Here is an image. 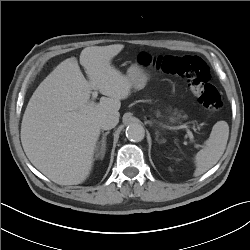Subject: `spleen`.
Listing matches in <instances>:
<instances>
[{
  "label": "spleen",
  "instance_id": "3e777b00",
  "mask_svg": "<svg viewBox=\"0 0 250 250\" xmlns=\"http://www.w3.org/2000/svg\"><path fill=\"white\" fill-rule=\"evenodd\" d=\"M229 137V126L225 121L214 124L203 149L195 155L194 176H200L212 168L223 155Z\"/></svg>",
  "mask_w": 250,
  "mask_h": 250
}]
</instances>
